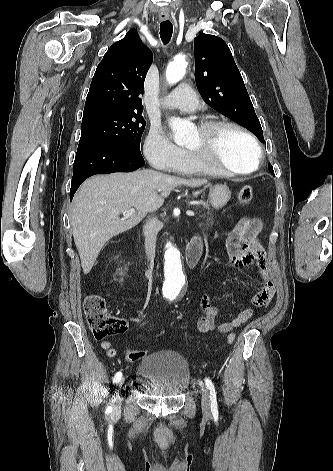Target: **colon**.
Wrapping results in <instances>:
<instances>
[{"label":"colon","instance_id":"5ec220e1","mask_svg":"<svg viewBox=\"0 0 333 471\" xmlns=\"http://www.w3.org/2000/svg\"><path fill=\"white\" fill-rule=\"evenodd\" d=\"M253 199V189L251 186H243L238 193V200L241 204H248ZM84 313L89 329L97 340L120 334L126 329V321L115 317L108 312L105 300L96 294L86 297L84 301ZM235 341V334L230 333L227 343L230 345ZM146 351L127 350L126 358L130 362H136L145 357Z\"/></svg>","mask_w":333,"mask_h":471}]
</instances>
